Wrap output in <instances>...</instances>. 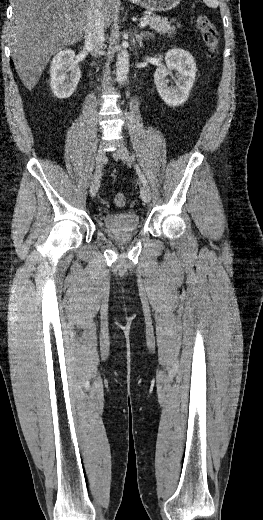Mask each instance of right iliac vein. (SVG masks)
<instances>
[{"label":"right iliac vein","mask_w":263,"mask_h":520,"mask_svg":"<svg viewBox=\"0 0 263 520\" xmlns=\"http://www.w3.org/2000/svg\"><path fill=\"white\" fill-rule=\"evenodd\" d=\"M96 169L94 172V176L91 181L90 186V195L91 197H95L101 183V169L103 166L104 158H105V151L102 147H100L96 153Z\"/></svg>","instance_id":"1"}]
</instances>
